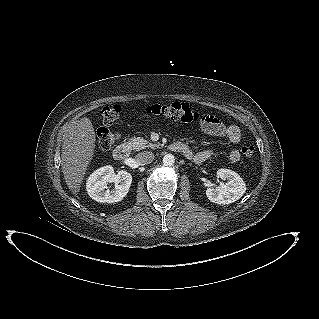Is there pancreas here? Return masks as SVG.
Listing matches in <instances>:
<instances>
[{
    "label": "pancreas",
    "mask_w": 319,
    "mask_h": 319,
    "mask_svg": "<svg viewBox=\"0 0 319 319\" xmlns=\"http://www.w3.org/2000/svg\"><path fill=\"white\" fill-rule=\"evenodd\" d=\"M128 145L135 151H139L148 147L154 148L157 147L156 144L150 143L148 140L141 137H133L129 139Z\"/></svg>",
    "instance_id": "cf45deb5"
}]
</instances>
